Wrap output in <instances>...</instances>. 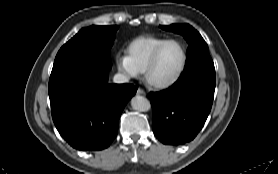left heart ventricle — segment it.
Masks as SVG:
<instances>
[{"label": "left heart ventricle", "mask_w": 278, "mask_h": 174, "mask_svg": "<svg viewBox=\"0 0 278 174\" xmlns=\"http://www.w3.org/2000/svg\"><path fill=\"white\" fill-rule=\"evenodd\" d=\"M182 61V50L179 44L169 43L160 51L152 70L156 80H166L175 75Z\"/></svg>", "instance_id": "obj_1"}]
</instances>
